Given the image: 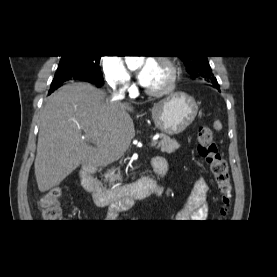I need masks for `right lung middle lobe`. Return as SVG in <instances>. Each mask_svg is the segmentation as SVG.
I'll list each match as a JSON object with an SVG mask.
<instances>
[{
    "label": "right lung middle lobe",
    "instance_id": "obj_1",
    "mask_svg": "<svg viewBox=\"0 0 277 277\" xmlns=\"http://www.w3.org/2000/svg\"><path fill=\"white\" fill-rule=\"evenodd\" d=\"M100 57L101 56H61L58 70L52 83L64 79L71 80L69 76H84L96 82L103 81L102 73L99 68ZM50 93L51 92H49V94Z\"/></svg>",
    "mask_w": 277,
    "mask_h": 277
}]
</instances>
